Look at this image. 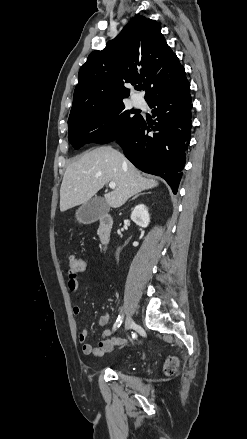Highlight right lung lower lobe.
Masks as SVG:
<instances>
[{
    "instance_id": "98d812e1",
    "label": "right lung lower lobe",
    "mask_w": 247,
    "mask_h": 439,
    "mask_svg": "<svg viewBox=\"0 0 247 439\" xmlns=\"http://www.w3.org/2000/svg\"><path fill=\"white\" fill-rule=\"evenodd\" d=\"M190 83L150 98L156 121L142 116L121 138L125 156L140 170L161 176L177 192L190 142Z\"/></svg>"
}]
</instances>
